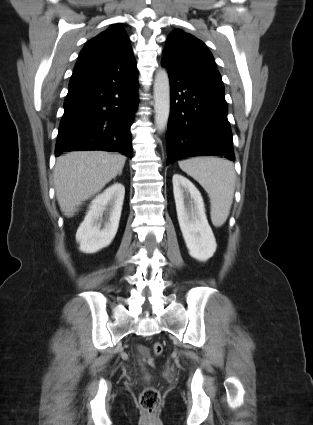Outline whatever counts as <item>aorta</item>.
<instances>
[{
    "label": "aorta",
    "mask_w": 313,
    "mask_h": 425,
    "mask_svg": "<svg viewBox=\"0 0 313 425\" xmlns=\"http://www.w3.org/2000/svg\"><path fill=\"white\" fill-rule=\"evenodd\" d=\"M155 125L159 132L164 131L170 113V84L166 69H159L155 75L154 86Z\"/></svg>",
    "instance_id": "obj_1"
}]
</instances>
